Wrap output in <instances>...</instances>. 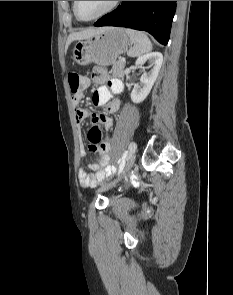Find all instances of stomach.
Returning <instances> with one entry per match:
<instances>
[{"instance_id": "stomach-1", "label": "stomach", "mask_w": 233, "mask_h": 295, "mask_svg": "<svg viewBox=\"0 0 233 295\" xmlns=\"http://www.w3.org/2000/svg\"><path fill=\"white\" fill-rule=\"evenodd\" d=\"M130 43L125 29L107 27L90 38L76 42L72 52L73 59L82 66L90 63L108 66L114 64L128 50Z\"/></svg>"}]
</instances>
